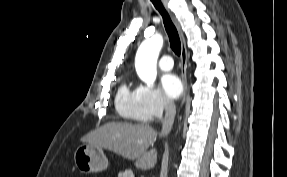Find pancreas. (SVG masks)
Returning a JSON list of instances; mask_svg holds the SVG:
<instances>
[{
    "label": "pancreas",
    "instance_id": "cf45deb5",
    "mask_svg": "<svg viewBox=\"0 0 287 177\" xmlns=\"http://www.w3.org/2000/svg\"><path fill=\"white\" fill-rule=\"evenodd\" d=\"M118 177H134V175L131 170H125L124 172H120Z\"/></svg>",
    "mask_w": 287,
    "mask_h": 177
}]
</instances>
